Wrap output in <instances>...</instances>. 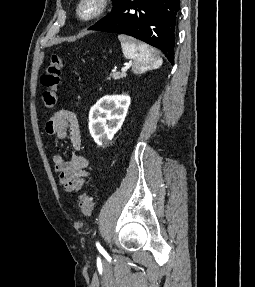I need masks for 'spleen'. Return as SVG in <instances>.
Masks as SVG:
<instances>
[{"label": "spleen", "mask_w": 255, "mask_h": 287, "mask_svg": "<svg viewBox=\"0 0 255 287\" xmlns=\"http://www.w3.org/2000/svg\"><path fill=\"white\" fill-rule=\"evenodd\" d=\"M119 42H121L123 54L127 60H135L136 66H143V68H160L163 64L162 58L160 56H155L153 60H151V54H154L153 50H150L147 44H143V42H137V40H133L130 36H118Z\"/></svg>", "instance_id": "spleen-1"}]
</instances>
